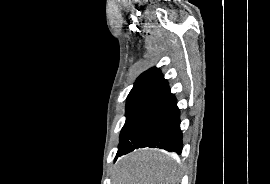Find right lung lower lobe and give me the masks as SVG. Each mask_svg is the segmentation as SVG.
Here are the masks:
<instances>
[{"label": "right lung lower lobe", "instance_id": "98d812e1", "mask_svg": "<svg viewBox=\"0 0 270 184\" xmlns=\"http://www.w3.org/2000/svg\"><path fill=\"white\" fill-rule=\"evenodd\" d=\"M143 147L177 154L182 152L180 111L168 86L148 99L133 122L118 156Z\"/></svg>", "mask_w": 270, "mask_h": 184}]
</instances>
